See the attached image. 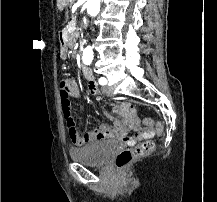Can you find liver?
Instances as JSON below:
<instances>
[{
	"instance_id": "6515ba94",
	"label": "liver",
	"mask_w": 217,
	"mask_h": 202,
	"mask_svg": "<svg viewBox=\"0 0 217 202\" xmlns=\"http://www.w3.org/2000/svg\"><path fill=\"white\" fill-rule=\"evenodd\" d=\"M73 2L74 0H57L58 10H60V12H63L64 8H66V6H71Z\"/></svg>"
}]
</instances>
